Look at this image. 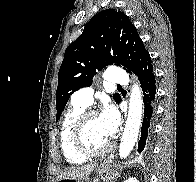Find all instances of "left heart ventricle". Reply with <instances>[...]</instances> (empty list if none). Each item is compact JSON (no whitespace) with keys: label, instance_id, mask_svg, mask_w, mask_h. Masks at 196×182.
Listing matches in <instances>:
<instances>
[{"label":"left heart ventricle","instance_id":"obj_1","mask_svg":"<svg viewBox=\"0 0 196 182\" xmlns=\"http://www.w3.org/2000/svg\"><path fill=\"white\" fill-rule=\"evenodd\" d=\"M83 141L90 150H99L110 142V138L100 124V116H92L88 120L83 133Z\"/></svg>","mask_w":196,"mask_h":182}]
</instances>
